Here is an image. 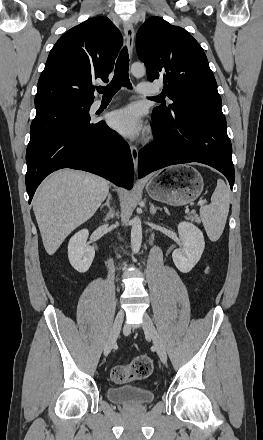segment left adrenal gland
<instances>
[{"label": "left adrenal gland", "instance_id": "a2214340", "mask_svg": "<svg viewBox=\"0 0 263 440\" xmlns=\"http://www.w3.org/2000/svg\"><path fill=\"white\" fill-rule=\"evenodd\" d=\"M162 211V208L160 207H155L153 203H151L150 205V214L151 215H155L157 211Z\"/></svg>", "mask_w": 263, "mask_h": 440}]
</instances>
